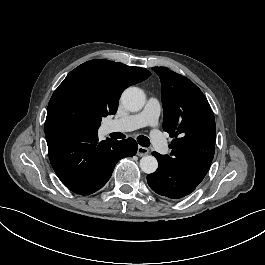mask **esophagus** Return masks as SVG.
Returning a JSON list of instances; mask_svg holds the SVG:
<instances>
[{
    "label": "esophagus",
    "instance_id": "34e87169",
    "mask_svg": "<svg viewBox=\"0 0 265 265\" xmlns=\"http://www.w3.org/2000/svg\"><path fill=\"white\" fill-rule=\"evenodd\" d=\"M149 153V149L148 148H145L143 146H138L137 148V156L139 157H142V156H145Z\"/></svg>",
    "mask_w": 265,
    "mask_h": 265
}]
</instances>
